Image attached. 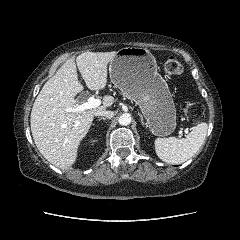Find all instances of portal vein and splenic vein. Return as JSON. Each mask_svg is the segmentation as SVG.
Wrapping results in <instances>:
<instances>
[{
    "label": "portal vein and splenic vein",
    "mask_w": 240,
    "mask_h": 240,
    "mask_svg": "<svg viewBox=\"0 0 240 240\" xmlns=\"http://www.w3.org/2000/svg\"><path fill=\"white\" fill-rule=\"evenodd\" d=\"M101 104L100 99H96L94 97H89L87 102H84L81 105H77L74 108L71 109L73 112H79L82 113L88 109L96 108ZM185 136H188V129L184 130ZM183 135V131H179V137Z\"/></svg>",
    "instance_id": "18ae733b"
}]
</instances>
